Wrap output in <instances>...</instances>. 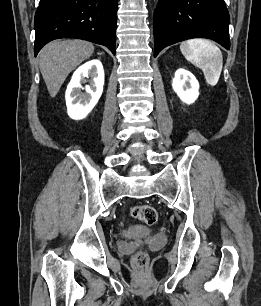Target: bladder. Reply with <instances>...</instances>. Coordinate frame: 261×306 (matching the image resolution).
Returning a JSON list of instances; mask_svg holds the SVG:
<instances>
[{
	"label": "bladder",
	"mask_w": 261,
	"mask_h": 306,
	"mask_svg": "<svg viewBox=\"0 0 261 306\" xmlns=\"http://www.w3.org/2000/svg\"><path fill=\"white\" fill-rule=\"evenodd\" d=\"M148 233V229L145 227H131L125 231L126 237H139L146 235Z\"/></svg>",
	"instance_id": "1"
}]
</instances>
